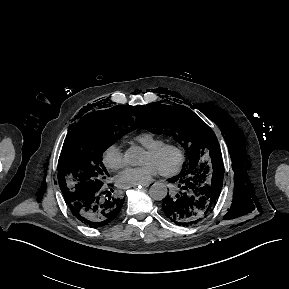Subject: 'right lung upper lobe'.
Here are the masks:
<instances>
[{
	"instance_id": "cb5924a9",
	"label": "right lung upper lobe",
	"mask_w": 289,
	"mask_h": 289,
	"mask_svg": "<svg viewBox=\"0 0 289 289\" xmlns=\"http://www.w3.org/2000/svg\"><path fill=\"white\" fill-rule=\"evenodd\" d=\"M135 108L136 107H134V106H130V107H128V106H115V107H112L110 109L96 111V112H92L90 114H87L86 116H84L82 118V120L88 119V118L113 117V116H116L119 114H123V111L129 112L128 110L130 109L131 113H129V114L131 115L132 118L131 119L129 118V119H130V121H134L133 117L136 116Z\"/></svg>"
}]
</instances>
